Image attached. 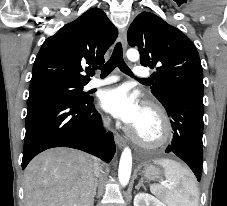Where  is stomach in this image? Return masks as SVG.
<instances>
[{
  "mask_svg": "<svg viewBox=\"0 0 227 206\" xmlns=\"http://www.w3.org/2000/svg\"><path fill=\"white\" fill-rule=\"evenodd\" d=\"M141 176L149 181L160 179L162 171L155 165H146L140 172Z\"/></svg>",
  "mask_w": 227,
  "mask_h": 206,
  "instance_id": "0dacf381",
  "label": "stomach"
}]
</instances>
